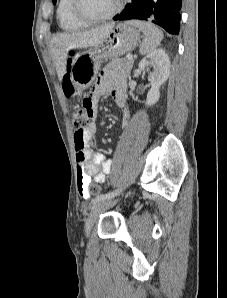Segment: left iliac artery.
I'll return each instance as SVG.
<instances>
[{
	"label": "left iliac artery",
	"instance_id": "obj_1",
	"mask_svg": "<svg viewBox=\"0 0 227 298\" xmlns=\"http://www.w3.org/2000/svg\"><path fill=\"white\" fill-rule=\"evenodd\" d=\"M120 191H121V189H117L115 191H112V192H109V193H106V194H101L93 200V204H95V203H97L101 200L110 199V198L114 197L115 195L119 194Z\"/></svg>",
	"mask_w": 227,
	"mask_h": 298
}]
</instances>
